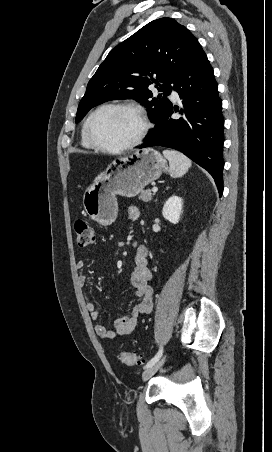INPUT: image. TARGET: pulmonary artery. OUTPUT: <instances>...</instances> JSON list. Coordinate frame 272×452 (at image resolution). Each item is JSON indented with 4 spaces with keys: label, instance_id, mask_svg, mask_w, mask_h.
Here are the masks:
<instances>
[{
    "label": "pulmonary artery",
    "instance_id": "1",
    "mask_svg": "<svg viewBox=\"0 0 272 452\" xmlns=\"http://www.w3.org/2000/svg\"><path fill=\"white\" fill-rule=\"evenodd\" d=\"M172 97H173L174 99H177V98H178L177 92L172 91Z\"/></svg>",
    "mask_w": 272,
    "mask_h": 452
}]
</instances>
